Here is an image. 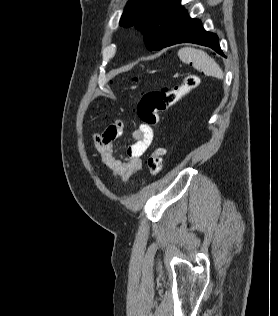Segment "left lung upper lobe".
Masks as SVG:
<instances>
[{
    "label": "left lung upper lobe",
    "instance_id": "left-lung-upper-lobe-1",
    "mask_svg": "<svg viewBox=\"0 0 278 316\" xmlns=\"http://www.w3.org/2000/svg\"><path fill=\"white\" fill-rule=\"evenodd\" d=\"M185 12L180 0H131L119 24L135 26L144 34L149 51L160 50L174 35Z\"/></svg>",
    "mask_w": 278,
    "mask_h": 316
}]
</instances>
